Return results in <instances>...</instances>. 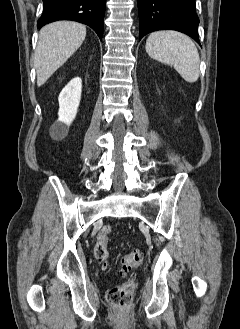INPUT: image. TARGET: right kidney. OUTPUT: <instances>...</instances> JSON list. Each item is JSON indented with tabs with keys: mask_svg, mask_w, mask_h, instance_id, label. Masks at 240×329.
<instances>
[{
	"mask_svg": "<svg viewBox=\"0 0 240 329\" xmlns=\"http://www.w3.org/2000/svg\"><path fill=\"white\" fill-rule=\"evenodd\" d=\"M82 81L79 77L72 79L61 91L59 101V118L51 126V133L57 138L67 135L69 126L75 119L81 99Z\"/></svg>",
	"mask_w": 240,
	"mask_h": 329,
	"instance_id": "obj_1",
	"label": "right kidney"
}]
</instances>
